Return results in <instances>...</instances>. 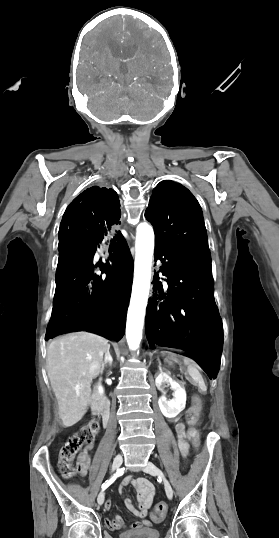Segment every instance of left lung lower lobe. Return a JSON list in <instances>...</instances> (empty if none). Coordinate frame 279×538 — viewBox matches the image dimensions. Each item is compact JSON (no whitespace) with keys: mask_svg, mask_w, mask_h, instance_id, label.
Instances as JSON below:
<instances>
[{"mask_svg":"<svg viewBox=\"0 0 279 538\" xmlns=\"http://www.w3.org/2000/svg\"><path fill=\"white\" fill-rule=\"evenodd\" d=\"M167 279L164 292L158 275L149 299L146 336L150 347L183 349L196 357L210 379L220 368L223 327L214 299L211 256L187 255L155 247V261Z\"/></svg>","mask_w":279,"mask_h":538,"instance_id":"1","label":"left lung lower lobe"}]
</instances>
